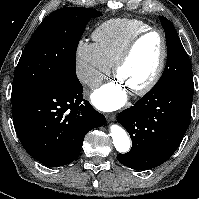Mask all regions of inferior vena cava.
Returning <instances> with one entry per match:
<instances>
[{
  "mask_svg": "<svg viewBox=\"0 0 199 199\" xmlns=\"http://www.w3.org/2000/svg\"><path fill=\"white\" fill-rule=\"evenodd\" d=\"M90 85L93 86V87H98L101 85V80H98V79H94L90 82Z\"/></svg>",
  "mask_w": 199,
  "mask_h": 199,
  "instance_id": "602c4592",
  "label": "inferior vena cava"
}]
</instances>
